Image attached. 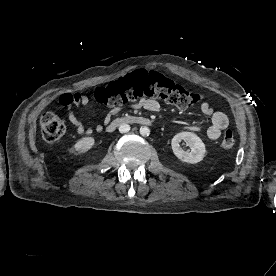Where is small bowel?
I'll use <instances>...</instances> for the list:
<instances>
[{
  "instance_id": "1",
  "label": "small bowel",
  "mask_w": 276,
  "mask_h": 276,
  "mask_svg": "<svg viewBox=\"0 0 276 276\" xmlns=\"http://www.w3.org/2000/svg\"><path fill=\"white\" fill-rule=\"evenodd\" d=\"M60 104L67 109V117L69 122L76 129L79 135H91L94 132H101L103 125L86 126L76 116L75 110L88 106L89 98L87 95L76 93H65L59 98ZM135 108H144L150 112H156L160 108V104L155 99L142 98L135 105ZM121 110L120 107L113 108L108 116H112ZM202 113L210 117L211 125L207 129V136L211 140H216L220 137L223 130L229 125V119L227 115L221 111L214 110L209 103H203L201 106ZM191 131H200L199 126L187 127Z\"/></svg>"
}]
</instances>
